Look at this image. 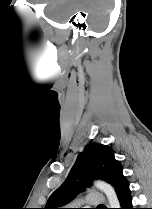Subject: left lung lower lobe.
Listing matches in <instances>:
<instances>
[{
    "mask_svg": "<svg viewBox=\"0 0 152 209\" xmlns=\"http://www.w3.org/2000/svg\"><path fill=\"white\" fill-rule=\"evenodd\" d=\"M120 202V209H134L132 206V197L129 189V183L126 180L123 185L116 192Z\"/></svg>",
    "mask_w": 152,
    "mask_h": 209,
    "instance_id": "left-lung-lower-lobe-1",
    "label": "left lung lower lobe"
}]
</instances>
